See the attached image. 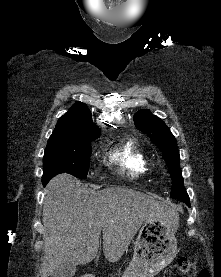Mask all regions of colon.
<instances>
[{"label":"colon","mask_w":221,"mask_h":277,"mask_svg":"<svg viewBox=\"0 0 221 277\" xmlns=\"http://www.w3.org/2000/svg\"><path fill=\"white\" fill-rule=\"evenodd\" d=\"M163 277H210V275L206 270L197 272L195 263L191 259L181 257L176 264L165 271Z\"/></svg>","instance_id":"5ec220e1"}]
</instances>
